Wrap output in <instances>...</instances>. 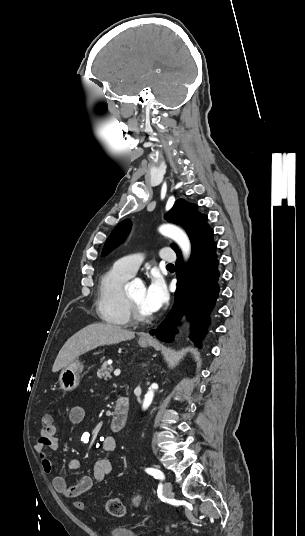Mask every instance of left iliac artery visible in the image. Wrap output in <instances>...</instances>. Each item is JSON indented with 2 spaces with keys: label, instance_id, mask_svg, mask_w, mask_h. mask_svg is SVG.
Returning <instances> with one entry per match:
<instances>
[{
  "label": "left iliac artery",
  "instance_id": "44dca946",
  "mask_svg": "<svg viewBox=\"0 0 305 536\" xmlns=\"http://www.w3.org/2000/svg\"><path fill=\"white\" fill-rule=\"evenodd\" d=\"M146 472L149 473L150 475L154 476L155 479H160V480L165 479L164 474L160 470H157V469H154V468H147Z\"/></svg>",
  "mask_w": 305,
  "mask_h": 536
}]
</instances>
